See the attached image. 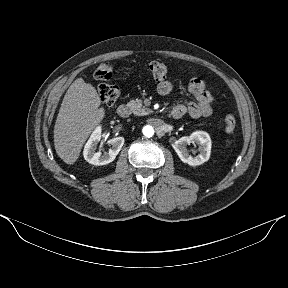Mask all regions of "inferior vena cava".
Listing matches in <instances>:
<instances>
[{
    "label": "inferior vena cava",
    "instance_id": "1",
    "mask_svg": "<svg viewBox=\"0 0 288 288\" xmlns=\"http://www.w3.org/2000/svg\"><path fill=\"white\" fill-rule=\"evenodd\" d=\"M149 126L157 129L156 135L158 137L168 136L170 134V128L165 123L158 121L157 119H151L149 121Z\"/></svg>",
    "mask_w": 288,
    "mask_h": 288
}]
</instances>
